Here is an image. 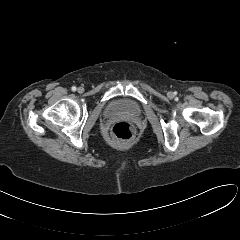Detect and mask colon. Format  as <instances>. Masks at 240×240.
I'll list each match as a JSON object with an SVG mask.
<instances>
[{
    "instance_id": "5ec220e1",
    "label": "colon",
    "mask_w": 240,
    "mask_h": 240,
    "mask_svg": "<svg viewBox=\"0 0 240 240\" xmlns=\"http://www.w3.org/2000/svg\"><path fill=\"white\" fill-rule=\"evenodd\" d=\"M136 127L129 122L115 123L111 128V135L119 141H131L136 137Z\"/></svg>"
}]
</instances>
